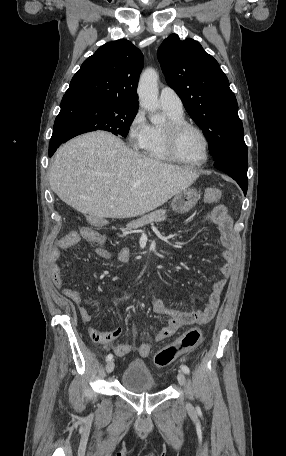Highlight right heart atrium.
Listing matches in <instances>:
<instances>
[{
    "mask_svg": "<svg viewBox=\"0 0 286 456\" xmlns=\"http://www.w3.org/2000/svg\"><path fill=\"white\" fill-rule=\"evenodd\" d=\"M149 129L144 111L141 108L137 109L127 129V137L131 146L141 148L147 139Z\"/></svg>",
    "mask_w": 286,
    "mask_h": 456,
    "instance_id": "right-heart-atrium-1",
    "label": "right heart atrium"
}]
</instances>
